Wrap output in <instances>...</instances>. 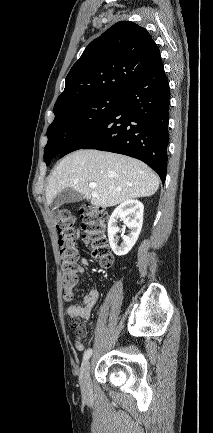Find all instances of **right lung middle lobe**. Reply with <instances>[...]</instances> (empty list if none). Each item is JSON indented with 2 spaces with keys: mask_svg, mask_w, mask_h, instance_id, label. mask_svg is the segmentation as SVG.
<instances>
[{
  "mask_svg": "<svg viewBox=\"0 0 213 433\" xmlns=\"http://www.w3.org/2000/svg\"><path fill=\"white\" fill-rule=\"evenodd\" d=\"M120 98L121 95L101 94L55 110V119L48 127V142L44 149L47 166L54 156L102 122L113 111Z\"/></svg>",
  "mask_w": 213,
  "mask_h": 433,
  "instance_id": "obj_1",
  "label": "right lung middle lobe"
}]
</instances>
